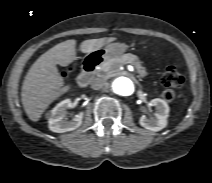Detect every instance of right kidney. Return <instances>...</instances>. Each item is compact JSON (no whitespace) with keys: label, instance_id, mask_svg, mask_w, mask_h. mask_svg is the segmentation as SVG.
I'll use <instances>...</instances> for the list:
<instances>
[{"label":"right kidney","instance_id":"ca27d5eb","mask_svg":"<svg viewBox=\"0 0 212 183\" xmlns=\"http://www.w3.org/2000/svg\"><path fill=\"white\" fill-rule=\"evenodd\" d=\"M72 106L70 99L58 103L50 112L49 129L56 133H64L77 129L82 124L83 113H79L71 120L65 119L66 110Z\"/></svg>","mask_w":212,"mask_h":183}]
</instances>
